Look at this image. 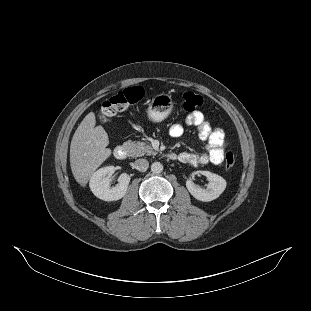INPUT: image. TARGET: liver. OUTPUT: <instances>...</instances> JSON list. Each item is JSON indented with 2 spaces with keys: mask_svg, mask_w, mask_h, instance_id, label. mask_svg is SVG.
Returning <instances> with one entry per match:
<instances>
[{
  "mask_svg": "<svg viewBox=\"0 0 311 311\" xmlns=\"http://www.w3.org/2000/svg\"><path fill=\"white\" fill-rule=\"evenodd\" d=\"M108 134L96 126L94 112L88 113L76 129L70 144V166L75 180L83 187L92 173L111 155Z\"/></svg>",
  "mask_w": 311,
  "mask_h": 311,
  "instance_id": "1",
  "label": "liver"
}]
</instances>
